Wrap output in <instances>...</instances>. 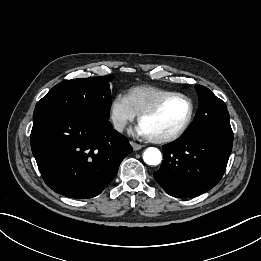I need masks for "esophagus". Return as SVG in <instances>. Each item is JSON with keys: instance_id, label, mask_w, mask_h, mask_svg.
Returning <instances> with one entry per match:
<instances>
[{"instance_id": "1", "label": "esophagus", "mask_w": 261, "mask_h": 261, "mask_svg": "<svg viewBox=\"0 0 261 261\" xmlns=\"http://www.w3.org/2000/svg\"><path fill=\"white\" fill-rule=\"evenodd\" d=\"M130 144L132 145L134 151L140 150L143 146L141 144H138L136 142L131 141Z\"/></svg>"}]
</instances>
